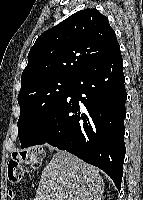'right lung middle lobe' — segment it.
<instances>
[{
    "instance_id": "dd1d6c3e",
    "label": "right lung middle lobe",
    "mask_w": 143,
    "mask_h": 200,
    "mask_svg": "<svg viewBox=\"0 0 143 200\" xmlns=\"http://www.w3.org/2000/svg\"><path fill=\"white\" fill-rule=\"evenodd\" d=\"M71 82V78L55 77L20 90L18 137L22 148L27 147L41 122L61 101Z\"/></svg>"
}]
</instances>
